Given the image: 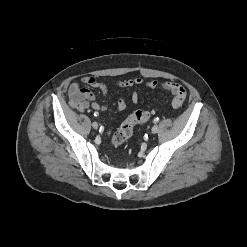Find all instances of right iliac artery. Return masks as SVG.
<instances>
[{
  "instance_id": "82829eb1",
  "label": "right iliac artery",
  "mask_w": 247,
  "mask_h": 247,
  "mask_svg": "<svg viewBox=\"0 0 247 247\" xmlns=\"http://www.w3.org/2000/svg\"><path fill=\"white\" fill-rule=\"evenodd\" d=\"M94 115H95V116H98V113H95Z\"/></svg>"
}]
</instances>
